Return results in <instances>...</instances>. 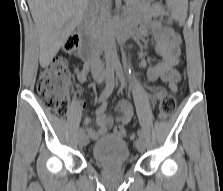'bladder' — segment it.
<instances>
[{"label":"bladder","instance_id":"31cf9c89","mask_svg":"<svg viewBox=\"0 0 223 191\" xmlns=\"http://www.w3.org/2000/svg\"><path fill=\"white\" fill-rule=\"evenodd\" d=\"M91 155L95 162L102 165H123L130 161V148L124 139L110 134L92 145Z\"/></svg>","mask_w":223,"mask_h":191}]
</instances>
